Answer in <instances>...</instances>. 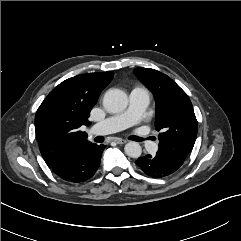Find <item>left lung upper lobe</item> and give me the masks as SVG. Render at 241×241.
<instances>
[{"label": "left lung upper lobe", "mask_w": 241, "mask_h": 241, "mask_svg": "<svg viewBox=\"0 0 241 241\" xmlns=\"http://www.w3.org/2000/svg\"><path fill=\"white\" fill-rule=\"evenodd\" d=\"M136 75L153 92L155 128L159 149L156 156L180 167L193 149L198 124L187 94L167 75L150 68H136Z\"/></svg>", "instance_id": "obj_1"}]
</instances>
